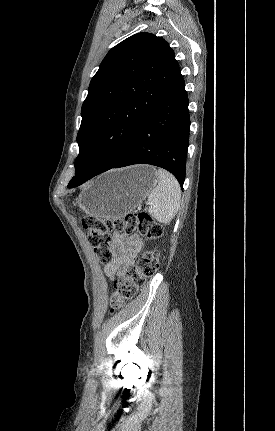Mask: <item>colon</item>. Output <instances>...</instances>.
<instances>
[{"mask_svg":"<svg viewBox=\"0 0 275 431\" xmlns=\"http://www.w3.org/2000/svg\"><path fill=\"white\" fill-rule=\"evenodd\" d=\"M83 227L88 231V239L94 253L107 265L113 259L111 247V232L126 231L128 233L139 231L148 238L159 237L162 226L148 213L138 212L127 214L123 218H102L88 215L82 219ZM159 268V258L156 251H150L140 257L136 264L127 268L123 275L114 282L115 292L110 297L111 311L120 309L124 303L131 299L139 286L147 278L154 276Z\"/></svg>","mask_w":275,"mask_h":431,"instance_id":"obj_1","label":"colon"}]
</instances>
